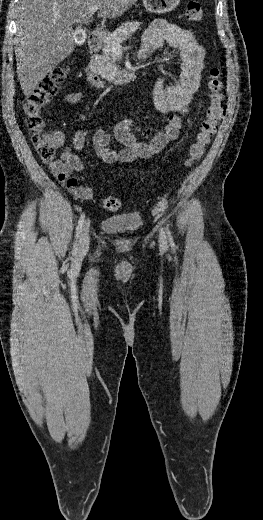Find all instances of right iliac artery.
<instances>
[{
    "label": "right iliac artery",
    "mask_w": 263,
    "mask_h": 520,
    "mask_svg": "<svg viewBox=\"0 0 263 520\" xmlns=\"http://www.w3.org/2000/svg\"><path fill=\"white\" fill-rule=\"evenodd\" d=\"M84 219H85V214H81L80 218H79V221H78V225L76 227V235H75V238H76V241L74 243V247H73V252L76 253V250H77V239L81 233V230H82V227H83V224H84Z\"/></svg>",
    "instance_id": "right-iliac-artery-1"
}]
</instances>
